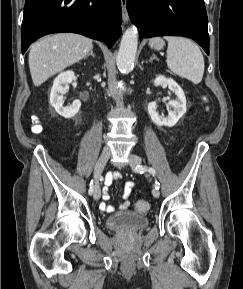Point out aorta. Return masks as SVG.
<instances>
[{
  "label": "aorta",
  "mask_w": 243,
  "mask_h": 289,
  "mask_svg": "<svg viewBox=\"0 0 243 289\" xmlns=\"http://www.w3.org/2000/svg\"><path fill=\"white\" fill-rule=\"evenodd\" d=\"M137 46L138 31L137 28L133 26L124 32L116 57V64L121 72L126 73L132 70L137 52Z\"/></svg>",
  "instance_id": "obj_1"
}]
</instances>
